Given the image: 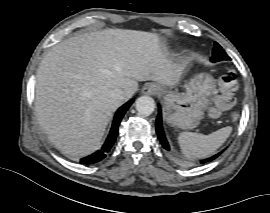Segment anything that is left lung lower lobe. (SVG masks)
I'll use <instances>...</instances> for the list:
<instances>
[{
  "label": "left lung lower lobe",
  "mask_w": 270,
  "mask_h": 213,
  "mask_svg": "<svg viewBox=\"0 0 270 213\" xmlns=\"http://www.w3.org/2000/svg\"><path fill=\"white\" fill-rule=\"evenodd\" d=\"M156 132H157V135H158V138L162 144V146L166 149V150H169V145H168V142L165 138V135H164V132H163V128H162V118H161V114L159 113L158 116H157V119H156ZM220 155V153L210 157V158H207L205 160H201L200 163L204 164L206 162H209L211 160H214L215 158H217L218 156Z\"/></svg>",
  "instance_id": "0a47b994"
}]
</instances>
